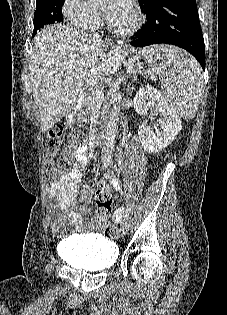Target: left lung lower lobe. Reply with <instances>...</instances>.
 Wrapping results in <instances>:
<instances>
[{
  "label": "left lung lower lobe",
  "mask_w": 227,
  "mask_h": 315,
  "mask_svg": "<svg viewBox=\"0 0 227 315\" xmlns=\"http://www.w3.org/2000/svg\"><path fill=\"white\" fill-rule=\"evenodd\" d=\"M147 22L131 44L144 47L166 43L191 53L205 70V46L195 0H160L144 11Z\"/></svg>",
  "instance_id": "obj_1"
}]
</instances>
